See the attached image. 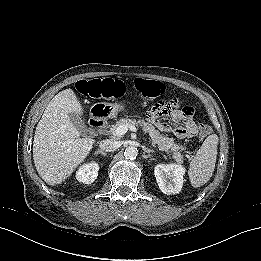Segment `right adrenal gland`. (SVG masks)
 <instances>
[{"mask_svg": "<svg viewBox=\"0 0 261 261\" xmlns=\"http://www.w3.org/2000/svg\"><path fill=\"white\" fill-rule=\"evenodd\" d=\"M97 154H101V155H104V156L106 155V153H104L103 151H98V152H96V155Z\"/></svg>", "mask_w": 261, "mask_h": 261, "instance_id": "right-adrenal-gland-1", "label": "right adrenal gland"}]
</instances>
